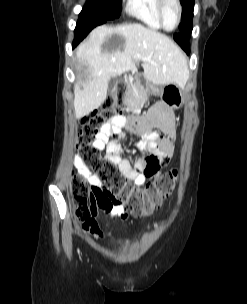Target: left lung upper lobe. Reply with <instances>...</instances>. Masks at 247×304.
I'll return each instance as SVG.
<instances>
[{
	"label": "left lung upper lobe",
	"mask_w": 247,
	"mask_h": 304,
	"mask_svg": "<svg viewBox=\"0 0 247 304\" xmlns=\"http://www.w3.org/2000/svg\"><path fill=\"white\" fill-rule=\"evenodd\" d=\"M180 2L183 6V9L181 16V24L179 25V29L181 31L192 29L194 0H180Z\"/></svg>",
	"instance_id": "1"
}]
</instances>
